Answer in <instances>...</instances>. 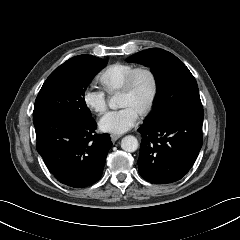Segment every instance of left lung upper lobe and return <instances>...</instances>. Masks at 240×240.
<instances>
[{
  "label": "left lung upper lobe",
  "mask_w": 240,
  "mask_h": 240,
  "mask_svg": "<svg viewBox=\"0 0 240 240\" xmlns=\"http://www.w3.org/2000/svg\"><path fill=\"white\" fill-rule=\"evenodd\" d=\"M127 61L150 67L157 82L156 109L145 124H158L177 115L204 116L196 80L175 55L151 48L130 56Z\"/></svg>",
  "instance_id": "1"
}]
</instances>
